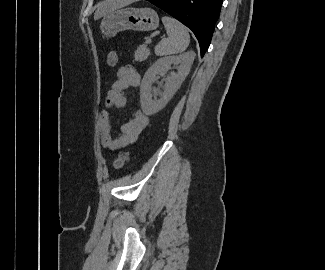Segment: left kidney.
<instances>
[{"mask_svg": "<svg viewBox=\"0 0 325 270\" xmlns=\"http://www.w3.org/2000/svg\"><path fill=\"white\" fill-rule=\"evenodd\" d=\"M195 56V52L188 51L179 56L160 58L146 71L140 85V103L143 113L154 115L166 106L189 74ZM171 65H179L178 72L168 78L160 98H153L152 84L156 81L157 75L167 72Z\"/></svg>", "mask_w": 325, "mask_h": 270, "instance_id": "1", "label": "left kidney"}]
</instances>
